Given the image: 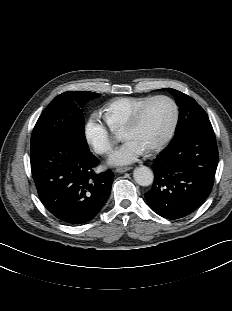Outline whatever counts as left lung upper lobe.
Here are the masks:
<instances>
[{
	"label": "left lung upper lobe",
	"mask_w": 232,
	"mask_h": 311,
	"mask_svg": "<svg viewBox=\"0 0 232 311\" xmlns=\"http://www.w3.org/2000/svg\"><path fill=\"white\" fill-rule=\"evenodd\" d=\"M168 90L180 108L175 135L197 123L208 120L204 109L193 98L172 88H168Z\"/></svg>",
	"instance_id": "left-lung-upper-lobe-1"
}]
</instances>
